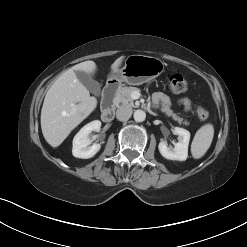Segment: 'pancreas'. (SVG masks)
<instances>
[{
	"label": "pancreas",
	"mask_w": 247,
	"mask_h": 247,
	"mask_svg": "<svg viewBox=\"0 0 247 247\" xmlns=\"http://www.w3.org/2000/svg\"><path fill=\"white\" fill-rule=\"evenodd\" d=\"M134 91H140V89L136 87H120L117 92L116 96L114 98L115 104H122L127 105L130 107H135L134 101L131 97V94ZM168 116H171L175 121H177L179 124L189 125V122L187 120H184L183 118L179 117L177 114L173 113L172 110H168L166 112Z\"/></svg>",
	"instance_id": "1"
}]
</instances>
